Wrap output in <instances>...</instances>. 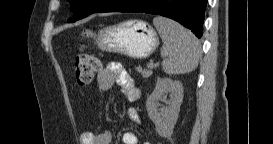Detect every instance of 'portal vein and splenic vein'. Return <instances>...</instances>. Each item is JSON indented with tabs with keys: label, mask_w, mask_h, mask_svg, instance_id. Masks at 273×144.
<instances>
[{
	"label": "portal vein and splenic vein",
	"mask_w": 273,
	"mask_h": 144,
	"mask_svg": "<svg viewBox=\"0 0 273 144\" xmlns=\"http://www.w3.org/2000/svg\"><path fill=\"white\" fill-rule=\"evenodd\" d=\"M153 67H154L153 62H150V63L148 64V68L152 69Z\"/></svg>",
	"instance_id": "portal-vein-and-splenic-vein-1"
}]
</instances>
